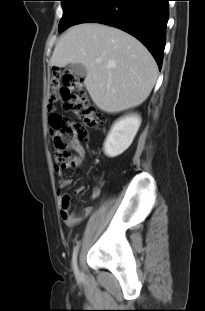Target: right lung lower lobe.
I'll return each instance as SVG.
<instances>
[{
    "label": "right lung lower lobe",
    "mask_w": 205,
    "mask_h": 311,
    "mask_svg": "<svg viewBox=\"0 0 205 311\" xmlns=\"http://www.w3.org/2000/svg\"><path fill=\"white\" fill-rule=\"evenodd\" d=\"M169 0H92L74 22L117 27L141 41L161 68Z\"/></svg>",
    "instance_id": "98d812e1"
}]
</instances>
